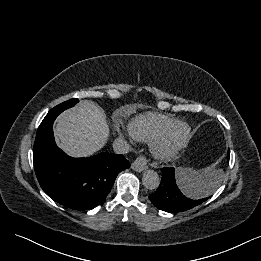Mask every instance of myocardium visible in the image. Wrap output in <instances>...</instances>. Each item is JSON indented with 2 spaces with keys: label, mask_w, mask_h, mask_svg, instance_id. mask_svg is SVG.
I'll return each mask as SVG.
<instances>
[{
  "label": "myocardium",
  "mask_w": 261,
  "mask_h": 261,
  "mask_svg": "<svg viewBox=\"0 0 261 261\" xmlns=\"http://www.w3.org/2000/svg\"><path fill=\"white\" fill-rule=\"evenodd\" d=\"M191 137V127L186 122H178L152 144L155 158L169 161L187 145Z\"/></svg>",
  "instance_id": "f54148a6"
}]
</instances>
